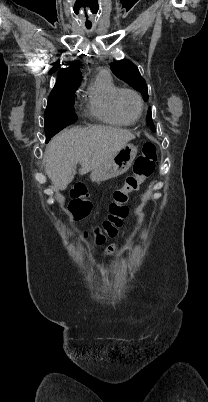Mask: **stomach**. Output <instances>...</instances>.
<instances>
[{"label":"stomach","instance_id":"obj_1","mask_svg":"<svg viewBox=\"0 0 208 402\" xmlns=\"http://www.w3.org/2000/svg\"><path fill=\"white\" fill-rule=\"evenodd\" d=\"M137 152L138 150L136 146L125 144L119 152L110 156L105 164L92 170L90 180H92V182H105V180H110V178H116V176L125 174L130 166H132V162L135 160Z\"/></svg>","mask_w":208,"mask_h":402}]
</instances>
